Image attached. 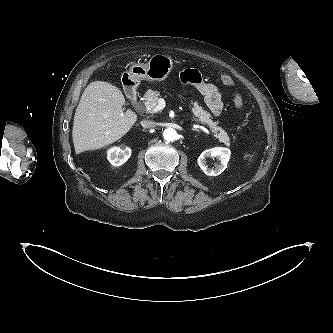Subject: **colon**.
<instances>
[{
  "label": "colon",
  "instance_id": "5ec220e1",
  "mask_svg": "<svg viewBox=\"0 0 333 333\" xmlns=\"http://www.w3.org/2000/svg\"><path fill=\"white\" fill-rule=\"evenodd\" d=\"M220 79L224 85L233 86L234 80L228 74H221ZM233 103L238 109H242L244 107L243 100L238 93H233Z\"/></svg>",
  "mask_w": 333,
  "mask_h": 333
}]
</instances>
